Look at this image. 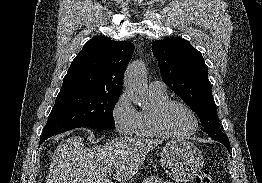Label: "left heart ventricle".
<instances>
[{"mask_svg":"<svg viewBox=\"0 0 262 183\" xmlns=\"http://www.w3.org/2000/svg\"><path fill=\"white\" fill-rule=\"evenodd\" d=\"M165 125L174 134H184L193 129L194 119L185 107L174 105L166 114Z\"/></svg>","mask_w":262,"mask_h":183,"instance_id":"b2bd125f","label":"left heart ventricle"}]
</instances>
